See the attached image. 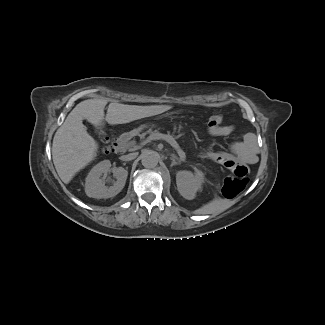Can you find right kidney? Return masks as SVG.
<instances>
[{
    "label": "right kidney",
    "mask_w": 325,
    "mask_h": 325,
    "mask_svg": "<svg viewBox=\"0 0 325 325\" xmlns=\"http://www.w3.org/2000/svg\"><path fill=\"white\" fill-rule=\"evenodd\" d=\"M111 163L104 160L92 168L86 177L85 192L88 197L92 198H110L116 196L124 188L128 171L122 167H118L114 171L115 180H111V186H106L101 176L107 174L110 170Z\"/></svg>",
    "instance_id": "obj_1"
}]
</instances>
